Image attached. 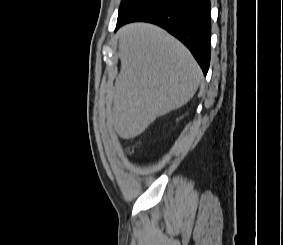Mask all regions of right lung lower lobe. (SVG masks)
<instances>
[{
  "label": "right lung lower lobe",
  "instance_id": "1",
  "mask_svg": "<svg viewBox=\"0 0 283 245\" xmlns=\"http://www.w3.org/2000/svg\"><path fill=\"white\" fill-rule=\"evenodd\" d=\"M210 6V0H149L117 24L115 32L134 21L157 24L189 48L206 75L210 63Z\"/></svg>",
  "mask_w": 283,
  "mask_h": 245
}]
</instances>
